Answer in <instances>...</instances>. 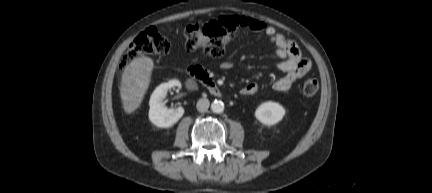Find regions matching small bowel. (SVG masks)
Returning <instances> with one entry per match:
<instances>
[{"label":"small bowel","instance_id":"1","mask_svg":"<svg viewBox=\"0 0 432 193\" xmlns=\"http://www.w3.org/2000/svg\"><path fill=\"white\" fill-rule=\"evenodd\" d=\"M220 20L235 29H247L262 33L269 38L276 48V56L280 59L276 67L285 73L283 77L273 83L272 88L275 91L285 92L290 90L311 69V61L302 55L298 45L287 39L273 26L247 16H226ZM233 67L234 62L232 61H223L219 64V68L222 70H229ZM258 90V84L250 82L241 88L240 93L244 96H251L256 94Z\"/></svg>","mask_w":432,"mask_h":193}]
</instances>
